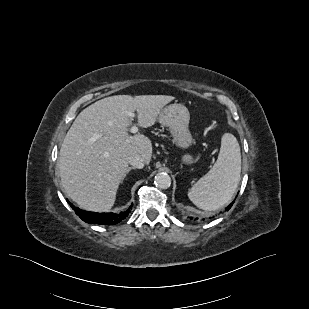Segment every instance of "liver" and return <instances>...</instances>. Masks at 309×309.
Masks as SVG:
<instances>
[{"mask_svg": "<svg viewBox=\"0 0 309 309\" xmlns=\"http://www.w3.org/2000/svg\"><path fill=\"white\" fill-rule=\"evenodd\" d=\"M174 99L167 95H116L81 111L60 149L58 167L64 192L82 209L109 211L129 158L138 154L149 164L152 156L148 137L128 134L133 120L129 113L137 111L138 125L147 128Z\"/></svg>", "mask_w": 309, "mask_h": 309, "instance_id": "1", "label": "liver"}]
</instances>
